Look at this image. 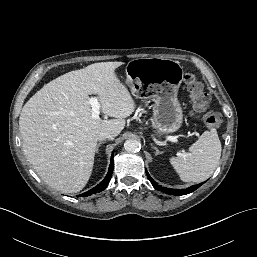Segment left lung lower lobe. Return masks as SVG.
I'll return each mask as SVG.
<instances>
[{"label":"left lung lower lobe","mask_w":257,"mask_h":257,"mask_svg":"<svg viewBox=\"0 0 257 257\" xmlns=\"http://www.w3.org/2000/svg\"><path fill=\"white\" fill-rule=\"evenodd\" d=\"M146 174L150 180V182L152 183L153 187L159 191H162L166 194H170V195H185V194H188V193H191L193 191H195L197 188H199L203 183L201 184H198V185H193L187 189H182V190H179V189H170V188H166V187H161L159 186L152 178L151 176L149 175V173L147 172L146 170Z\"/></svg>","instance_id":"0a47b994"}]
</instances>
